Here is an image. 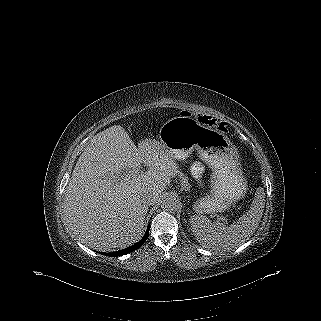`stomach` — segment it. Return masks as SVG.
<instances>
[{"label":"stomach","mask_w":321,"mask_h":321,"mask_svg":"<svg viewBox=\"0 0 321 321\" xmlns=\"http://www.w3.org/2000/svg\"><path fill=\"white\" fill-rule=\"evenodd\" d=\"M154 142L177 160H184L197 150L200 158L212 168L211 195L195 203L196 211H224L243 194L238 153L231 141L216 130L201 125L192 117L178 116L161 126L159 141Z\"/></svg>","instance_id":"stomach-1"}]
</instances>
